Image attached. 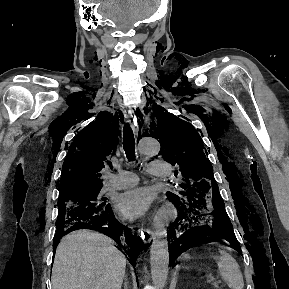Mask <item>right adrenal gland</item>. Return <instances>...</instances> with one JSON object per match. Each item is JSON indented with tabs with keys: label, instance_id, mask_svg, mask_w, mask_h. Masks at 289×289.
I'll return each instance as SVG.
<instances>
[{
	"label": "right adrenal gland",
	"instance_id": "2a0ac1e0",
	"mask_svg": "<svg viewBox=\"0 0 289 289\" xmlns=\"http://www.w3.org/2000/svg\"><path fill=\"white\" fill-rule=\"evenodd\" d=\"M124 289H128L127 276H125V278H124Z\"/></svg>",
	"mask_w": 289,
	"mask_h": 289
}]
</instances>
